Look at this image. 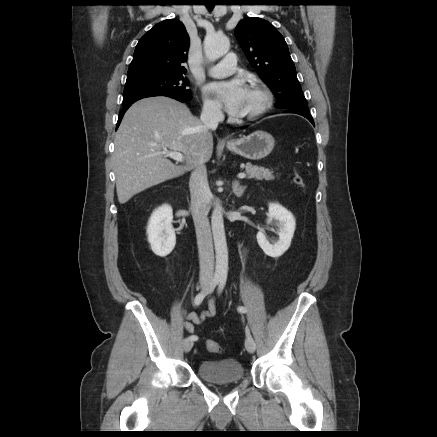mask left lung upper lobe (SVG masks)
Here are the masks:
<instances>
[{
	"label": "left lung upper lobe",
	"instance_id": "left-lung-upper-lobe-1",
	"mask_svg": "<svg viewBox=\"0 0 437 437\" xmlns=\"http://www.w3.org/2000/svg\"><path fill=\"white\" fill-rule=\"evenodd\" d=\"M235 36L251 66L277 97V107L309 113L287 44L278 30L268 21L252 17L238 23Z\"/></svg>",
	"mask_w": 437,
	"mask_h": 437
}]
</instances>
